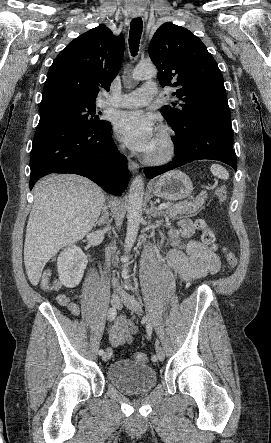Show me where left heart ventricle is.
Returning <instances> with one entry per match:
<instances>
[{
	"mask_svg": "<svg viewBox=\"0 0 271 443\" xmlns=\"http://www.w3.org/2000/svg\"><path fill=\"white\" fill-rule=\"evenodd\" d=\"M162 146H163L162 140L158 136V134L156 133L155 134V138H154V142H153V145H152V148H151L149 153H156V152L160 151Z\"/></svg>",
	"mask_w": 271,
	"mask_h": 443,
	"instance_id": "obj_1",
	"label": "left heart ventricle"
}]
</instances>
